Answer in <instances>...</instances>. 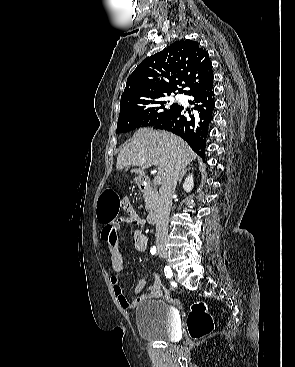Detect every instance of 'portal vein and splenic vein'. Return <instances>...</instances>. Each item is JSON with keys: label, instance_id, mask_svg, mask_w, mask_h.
Instances as JSON below:
<instances>
[{"label": "portal vein and splenic vein", "instance_id": "1", "mask_svg": "<svg viewBox=\"0 0 295 367\" xmlns=\"http://www.w3.org/2000/svg\"><path fill=\"white\" fill-rule=\"evenodd\" d=\"M153 164L155 165V164H156V162H153ZM161 182H162V177H161V176H156V177L154 178V184H155V185H159V184H161Z\"/></svg>", "mask_w": 295, "mask_h": 367}]
</instances>
